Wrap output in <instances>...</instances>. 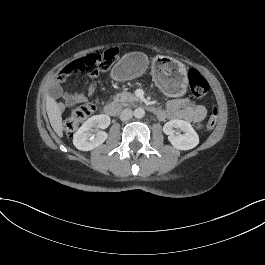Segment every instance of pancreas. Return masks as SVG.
I'll list each match as a JSON object with an SVG mask.
<instances>
[{"instance_id":"1","label":"pancreas","mask_w":265,"mask_h":265,"mask_svg":"<svg viewBox=\"0 0 265 265\" xmlns=\"http://www.w3.org/2000/svg\"><path fill=\"white\" fill-rule=\"evenodd\" d=\"M113 101L119 102L121 106L125 107V106H128V103H132V104L139 103L141 102V99L133 95L131 92L124 91V92L116 94L113 97Z\"/></svg>"}]
</instances>
